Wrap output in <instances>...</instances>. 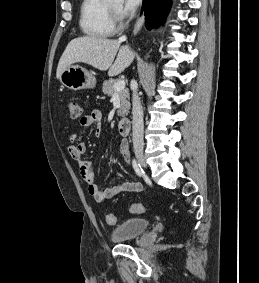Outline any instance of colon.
I'll use <instances>...</instances> for the list:
<instances>
[{"mask_svg":"<svg viewBox=\"0 0 259 283\" xmlns=\"http://www.w3.org/2000/svg\"><path fill=\"white\" fill-rule=\"evenodd\" d=\"M68 110L70 117L72 119H82L83 118V110L80 104L76 101H70L68 103ZM145 211V207L141 203H133L130 206V212L133 214H141ZM106 222L108 225H114L116 223V217L112 213H108L106 215Z\"/></svg>","mask_w":259,"mask_h":283,"instance_id":"1","label":"colon"}]
</instances>
